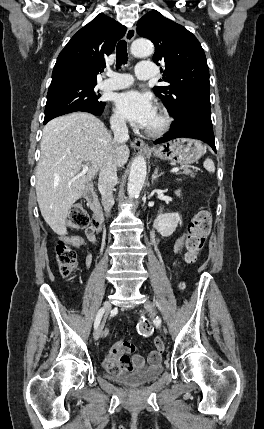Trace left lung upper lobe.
Returning <instances> with one entry per match:
<instances>
[{"label": "left lung upper lobe", "mask_w": 264, "mask_h": 429, "mask_svg": "<svg viewBox=\"0 0 264 429\" xmlns=\"http://www.w3.org/2000/svg\"><path fill=\"white\" fill-rule=\"evenodd\" d=\"M137 32L155 45L153 60L163 67V77L159 81L169 85L156 86L153 91L164 102L170 115L178 119L188 105L210 104L205 53L191 32L156 10L138 21Z\"/></svg>", "instance_id": "5c2ea615"}]
</instances>
